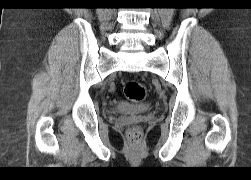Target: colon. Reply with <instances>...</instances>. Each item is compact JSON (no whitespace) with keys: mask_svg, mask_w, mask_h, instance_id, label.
<instances>
[{"mask_svg":"<svg viewBox=\"0 0 251 180\" xmlns=\"http://www.w3.org/2000/svg\"><path fill=\"white\" fill-rule=\"evenodd\" d=\"M123 92L125 97L132 102H141L147 95L146 87L136 80L126 82L123 87ZM128 136L132 142L139 140V132L136 128L131 129Z\"/></svg>","mask_w":251,"mask_h":180,"instance_id":"obj_1","label":"colon"}]
</instances>
